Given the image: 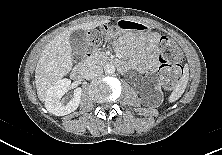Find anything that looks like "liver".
Returning <instances> with one entry per match:
<instances>
[{"instance_id":"1","label":"liver","mask_w":222,"mask_h":155,"mask_svg":"<svg viewBox=\"0 0 222 155\" xmlns=\"http://www.w3.org/2000/svg\"><path fill=\"white\" fill-rule=\"evenodd\" d=\"M109 20L91 21L70 27L56 35L44 48L35 69V83L40 101H46L48 90L72 69L70 36L76 30L89 31Z\"/></svg>"}]
</instances>
